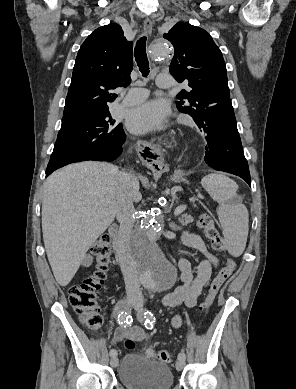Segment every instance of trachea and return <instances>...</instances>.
<instances>
[{
	"label": "trachea",
	"instance_id": "3493384b",
	"mask_svg": "<svg viewBox=\"0 0 296 389\" xmlns=\"http://www.w3.org/2000/svg\"><path fill=\"white\" fill-rule=\"evenodd\" d=\"M135 60L139 67L140 72L144 77H147L149 74V61L146 54V37H141L135 46L134 50Z\"/></svg>",
	"mask_w": 296,
	"mask_h": 389
}]
</instances>
